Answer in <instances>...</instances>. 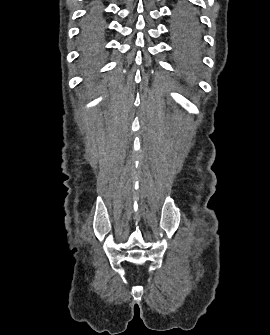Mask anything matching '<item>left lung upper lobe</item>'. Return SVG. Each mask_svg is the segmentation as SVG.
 I'll use <instances>...</instances> for the list:
<instances>
[{
  "label": "left lung upper lobe",
  "instance_id": "left-lung-upper-lobe-1",
  "mask_svg": "<svg viewBox=\"0 0 270 335\" xmlns=\"http://www.w3.org/2000/svg\"><path fill=\"white\" fill-rule=\"evenodd\" d=\"M197 12L190 2H182L176 10L177 30L187 32L197 24Z\"/></svg>",
  "mask_w": 270,
  "mask_h": 335
}]
</instances>
